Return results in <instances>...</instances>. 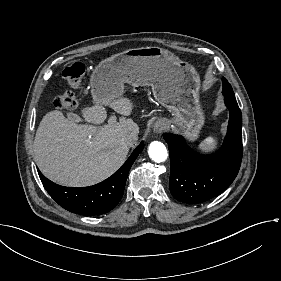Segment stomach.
<instances>
[{"mask_svg": "<svg viewBox=\"0 0 281 281\" xmlns=\"http://www.w3.org/2000/svg\"><path fill=\"white\" fill-rule=\"evenodd\" d=\"M200 75L193 65L158 46L130 48L103 59L90 75L94 105L112 104L125 84L150 86L154 99L172 113L162 122L190 142L199 139L206 116L200 100Z\"/></svg>", "mask_w": 281, "mask_h": 281, "instance_id": "1", "label": "stomach"}]
</instances>
